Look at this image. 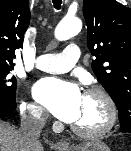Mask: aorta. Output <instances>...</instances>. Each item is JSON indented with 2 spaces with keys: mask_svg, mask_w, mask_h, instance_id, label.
Masks as SVG:
<instances>
[{
  "mask_svg": "<svg viewBox=\"0 0 131 151\" xmlns=\"http://www.w3.org/2000/svg\"><path fill=\"white\" fill-rule=\"evenodd\" d=\"M82 28V23L77 17H66L64 18L55 29V37L58 40H67L77 33Z\"/></svg>",
  "mask_w": 131,
  "mask_h": 151,
  "instance_id": "aorta-1",
  "label": "aorta"
}]
</instances>
